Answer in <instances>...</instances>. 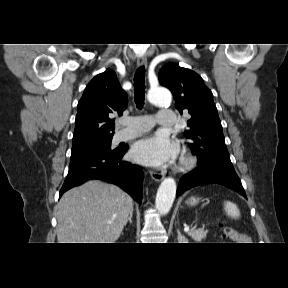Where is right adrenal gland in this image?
I'll return each mask as SVG.
<instances>
[{
  "mask_svg": "<svg viewBox=\"0 0 288 288\" xmlns=\"http://www.w3.org/2000/svg\"><path fill=\"white\" fill-rule=\"evenodd\" d=\"M132 215H133V209L130 211V215H129V217H128V221H129L130 223H132Z\"/></svg>",
  "mask_w": 288,
  "mask_h": 288,
  "instance_id": "right-adrenal-gland-1",
  "label": "right adrenal gland"
}]
</instances>
